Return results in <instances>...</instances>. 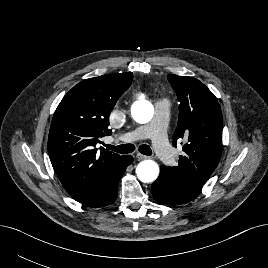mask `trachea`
Segmentation results:
<instances>
[{
  "mask_svg": "<svg viewBox=\"0 0 268 268\" xmlns=\"http://www.w3.org/2000/svg\"><path fill=\"white\" fill-rule=\"evenodd\" d=\"M106 148L108 150H112V151H115V152L120 153V154L131 153L135 149L134 145H132V144H121L119 146L106 145ZM139 151H140V153L147 155V156L152 155L151 148L146 144L140 145Z\"/></svg>",
  "mask_w": 268,
  "mask_h": 268,
  "instance_id": "obj_1",
  "label": "trachea"
}]
</instances>
